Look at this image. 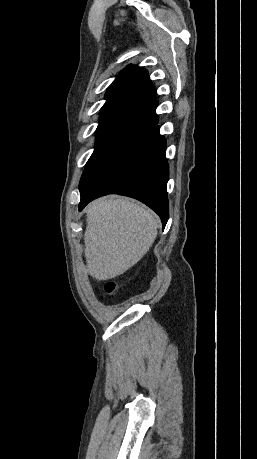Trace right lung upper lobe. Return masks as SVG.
Wrapping results in <instances>:
<instances>
[{
  "label": "right lung upper lobe",
  "instance_id": "right-lung-upper-lobe-1",
  "mask_svg": "<svg viewBox=\"0 0 257 459\" xmlns=\"http://www.w3.org/2000/svg\"><path fill=\"white\" fill-rule=\"evenodd\" d=\"M105 98L101 112L123 110L137 114L156 104V91L147 70L128 67L110 85Z\"/></svg>",
  "mask_w": 257,
  "mask_h": 459
}]
</instances>
